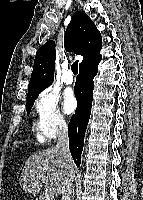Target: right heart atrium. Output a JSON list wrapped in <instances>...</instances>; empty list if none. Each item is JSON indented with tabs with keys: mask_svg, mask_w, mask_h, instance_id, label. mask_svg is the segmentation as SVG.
<instances>
[{
	"mask_svg": "<svg viewBox=\"0 0 143 200\" xmlns=\"http://www.w3.org/2000/svg\"><path fill=\"white\" fill-rule=\"evenodd\" d=\"M36 111L39 119V133L44 139H53L66 128V119L62 114L57 94L46 89L36 100Z\"/></svg>",
	"mask_w": 143,
	"mask_h": 200,
	"instance_id": "right-heart-atrium-1",
	"label": "right heart atrium"
}]
</instances>
